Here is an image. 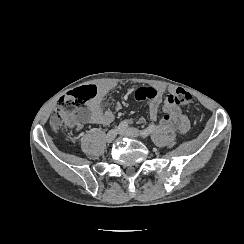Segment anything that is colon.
<instances>
[{"instance_id": "obj_1", "label": "colon", "mask_w": 244, "mask_h": 244, "mask_svg": "<svg viewBox=\"0 0 244 244\" xmlns=\"http://www.w3.org/2000/svg\"><path fill=\"white\" fill-rule=\"evenodd\" d=\"M97 87L89 83L82 84L71 91L68 96L61 98L51 116L50 123L54 128H67L70 132H77L81 123H87L91 119L89 104L86 100L97 94ZM172 104L187 106L193 102L192 94L184 88H177L169 98ZM197 122L203 121V116H197Z\"/></svg>"}]
</instances>
